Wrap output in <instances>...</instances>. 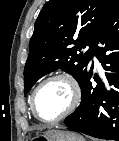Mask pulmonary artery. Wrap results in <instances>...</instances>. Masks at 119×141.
Wrapping results in <instances>:
<instances>
[{
  "mask_svg": "<svg viewBox=\"0 0 119 141\" xmlns=\"http://www.w3.org/2000/svg\"><path fill=\"white\" fill-rule=\"evenodd\" d=\"M92 59H93L95 65L99 67L100 65H99V62L97 60V57L95 55H93Z\"/></svg>",
  "mask_w": 119,
  "mask_h": 141,
  "instance_id": "1",
  "label": "pulmonary artery"
}]
</instances>
